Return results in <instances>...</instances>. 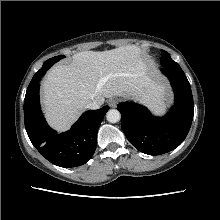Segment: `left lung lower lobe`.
<instances>
[{
  "mask_svg": "<svg viewBox=\"0 0 220 220\" xmlns=\"http://www.w3.org/2000/svg\"><path fill=\"white\" fill-rule=\"evenodd\" d=\"M175 94V105L164 117L153 116L146 107L123 102L117 105L121 113V129L127 139L141 152L161 155L177 148L186 138L194 114V102L189 81L179 67H163Z\"/></svg>",
  "mask_w": 220,
  "mask_h": 220,
  "instance_id": "left-lung-lower-lobe-1",
  "label": "left lung lower lobe"
}]
</instances>
